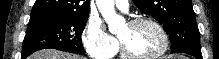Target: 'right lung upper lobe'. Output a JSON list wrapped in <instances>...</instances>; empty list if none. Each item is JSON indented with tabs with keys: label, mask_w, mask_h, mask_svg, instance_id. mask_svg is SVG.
I'll return each instance as SVG.
<instances>
[{
	"label": "right lung upper lobe",
	"mask_w": 219,
	"mask_h": 59,
	"mask_svg": "<svg viewBox=\"0 0 219 59\" xmlns=\"http://www.w3.org/2000/svg\"><path fill=\"white\" fill-rule=\"evenodd\" d=\"M90 0H36L31 14L88 16Z\"/></svg>",
	"instance_id": "right-lung-upper-lobe-1"
}]
</instances>
